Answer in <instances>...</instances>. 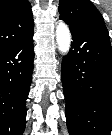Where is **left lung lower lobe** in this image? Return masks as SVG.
I'll use <instances>...</instances> for the list:
<instances>
[{"mask_svg": "<svg viewBox=\"0 0 112 135\" xmlns=\"http://www.w3.org/2000/svg\"><path fill=\"white\" fill-rule=\"evenodd\" d=\"M72 43L61 77L70 135H110L112 50L109 35L70 27Z\"/></svg>", "mask_w": 112, "mask_h": 135, "instance_id": "obj_1", "label": "left lung lower lobe"}]
</instances>
